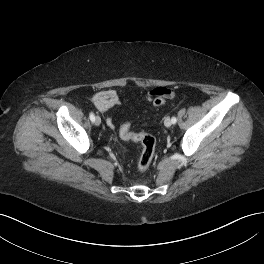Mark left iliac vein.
<instances>
[{"label": "left iliac vein", "instance_id": "4c4485c4", "mask_svg": "<svg viewBox=\"0 0 264 264\" xmlns=\"http://www.w3.org/2000/svg\"><path fill=\"white\" fill-rule=\"evenodd\" d=\"M164 124L166 127H170L172 125L171 119L167 117L164 121Z\"/></svg>", "mask_w": 264, "mask_h": 264}]
</instances>
